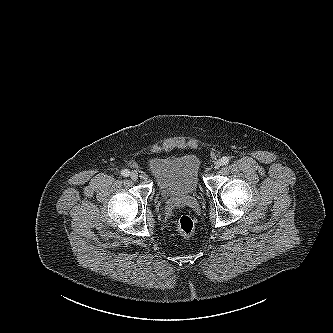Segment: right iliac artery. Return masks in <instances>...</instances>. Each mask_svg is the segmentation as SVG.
<instances>
[{
  "label": "right iliac artery",
  "instance_id": "82829eb1",
  "mask_svg": "<svg viewBox=\"0 0 333 333\" xmlns=\"http://www.w3.org/2000/svg\"><path fill=\"white\" fill-rule=\"evenodd\" d=\"M121 175L124 176V177H128L130 175V172H129V170L124 169V170L121 171Z\"/></svg>",
  "mask_w": 333,
  "mask_h": 333
}]
</instances>
